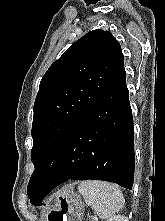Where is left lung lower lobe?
<instances>
[{
    "mask_svg": "<svg viewBox=\"0 0 165 221\" xmlns=\"http://www.w3.org/2000/svg\"><path fill=\"white\" fill-rule=\"evenodd\" d=\"M123 68L98 101L82 116L61 145L33 205L59 184L96 179L132 189L134 131L129 91Z\"/></svg>",
    "mask_w": 165,
    "mask_h": 221,
    "instance_id": "left-lung-lower-lobe-1",
    "label": "left lung lower lobe"
}]
</instances>
